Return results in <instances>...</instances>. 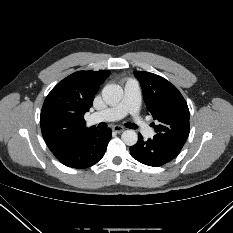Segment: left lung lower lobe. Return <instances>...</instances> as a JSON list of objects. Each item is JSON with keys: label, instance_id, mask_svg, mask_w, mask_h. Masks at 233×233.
Masks as SVG:
<instances>
[{"label": "left lung lower lobe", "instance_id": "obj_1", "mask_svg": "<svg viewBox=\"0 0 233 233\" xmlns=\"http://www.w3.org/2000/svg\"><path fill=\"white\" fill-rule=\"evenodd\" d=\"M180 150L154 139L144 141L142 135L138 134V142L130 147V154L145 165L159 167L174 159Z\"/></svg>", "mask_w": 233, "mask_h": 233}]
</instances>
